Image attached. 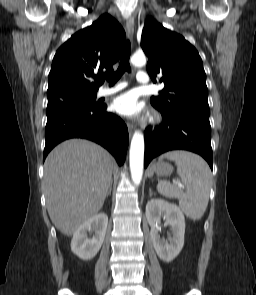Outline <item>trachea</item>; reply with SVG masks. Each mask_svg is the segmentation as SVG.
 <instances>
[{
	"label": "trachea",
	"mask_w": 256,
	"mask_h": 295,
	"mask_svg": "<svg viewBox=\"0 0 256 295\" xmlns=\"http://www.w3.org/2000/svg\"><path fill=\"white\" fill-rule=\"evenodd\" d=\"M130 54H131V44L130 41L128 40L124 46L121 60L119 67L115 73H113L110 76L105 77V79L109 82V84H115L119 78L124 74L125 71L131 72L130 64H129V59H130Z\"/></svg>",
	"instance_id": "1"
}]
</instances>
